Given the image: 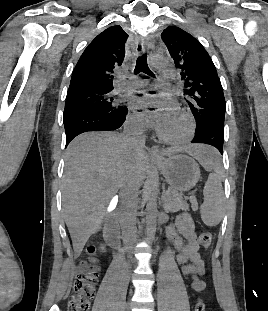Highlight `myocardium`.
<instances>
[{
    "instance_id": "1",
    "label": "myocardium",
    "mask_w": 268,
    "mask_h": 311,
    "mask_svg": "<svg viewBox=\"0 0 268 311\" xmlns=\"http://www.w3.org/2000/svg\"><path fill=\"white\" fill-rule=\"evenodd\" d=\"M177 113L181 115V117L184 119L185 124H186L185 131L181 136L170 137L162 131L159 125H157L156 127V133H157L158 138L162 140L163 142H166L172 145H183V144L188 143L192 139L194 135V131H195V123H194L192 115L188 111L184 109H180L178 110Z\"/></svg>"
}]
</instances>
